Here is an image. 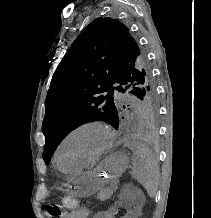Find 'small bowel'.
<instances>
[{
  "mask_svg": "<svg viewBox=\"0 0 211 218\" xmlns=\"http://www.w3.org/2000/svg\"><path fill=\"white\" fill-rule=\"evenodd\" d=\"M139 212L129 205L118 202L105 211H99L94 214L93 218H138ZM74 218H90L89 209L82 207L74 211Z\"/></svg>",
  "mask_w": 211,
  "mask_h": 218,
  "instance_id": "obj_1",
  "label": "small bowel"
}]
</instances>
